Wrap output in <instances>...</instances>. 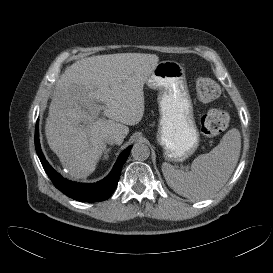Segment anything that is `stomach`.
<instances>
[{"instance_id":"obj_1","label":"stomach","mask_w":273,"mask_h":273,"mask_svg":"<svg viewBox=\"0 0 273 273\" xmlns=\"http://www.w3.org/2000/svg\"><path fill=\"white\" fill-rule=\"evenodd\" d=\"M146 85L158 90L157 142L163 149L164 158L182 162L195 152L200 140L184 67L176 61H161Z\"/></svg>"}]
</instances>
